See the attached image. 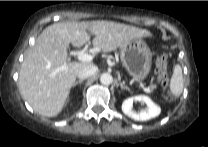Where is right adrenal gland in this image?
<instances>
[{
	"label": "right adrenal gland",
	"instance_id": "obj_1",
	"mask_svg": "<svg viewBox=\"0 0 208 147\" xmlns=\"http://www.w3.org/2000/svg\"><path fill=\"white\" fill-rule=\"evenodd\" d=\"M83 81H84V79L78 80V81H76V82L74 83L73 86L75 87L77 84H82Z\"/></svg>",
	"mask_w": 208,
	"mask_h": 147
}]
</instances>
